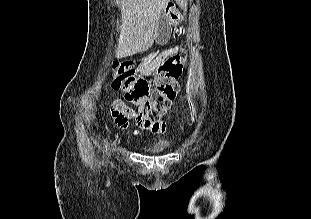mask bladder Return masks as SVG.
Masks as SVG:
<instances>
[{
	"label": "bladder",
	"mask_w": 311,
	"mask_h": 219,
	"mask_svg": "<svg viewBox=\"0 0 311 219\" xmlns=\"http://www.w3.org/2000/svg\"><path fill=\"white\" fill-rule=\"evenodd\" d=\"M167 150H168V147L155 146L150 150V153L153 155H159V154L166 152Z\"/></svg>",
	"instance_id": "obj_1"
}]
</instances>
